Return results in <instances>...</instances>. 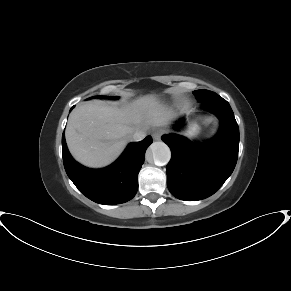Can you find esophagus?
I'll list each match as a JSON object with an SVG mask.
<instances>
[{
    "label": "esophagus",
    "instance_id": "34e87169",
    "mask_svg": "<svg viewBox=\"0 0 291 291\" xmlns=\"http://www.w3.org/2000/svg\"><path fill=\"white\" fill-rule=\"evenodd\" d=\"M163 134V132H162V130H160V129H154L153 131H152V137L155 139V140H160V138H161V135Z\"/></svg>",
    "mask_w": 291,
    "mask_h": 291
}]
</instances>
